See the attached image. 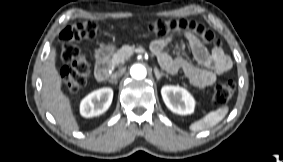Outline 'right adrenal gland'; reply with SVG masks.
I'll use <instances>...</instances> for the list:
<instances>
[{
  "label": "right adrenal gland",
  "instance_id": "2a0ac1e0",
  "mask_svg": "<svg viewBox=\"0 0 283 162\" xmlns=\"http://www.w3.org/2000/svg\"><path fill=\"white\" fill-rule=\"evenodd\" d=\"M111 84H117V81L109 80Z\"/></svg>",
  "mask_w": 283,
  "mask_h": 162
}]
</instances>
